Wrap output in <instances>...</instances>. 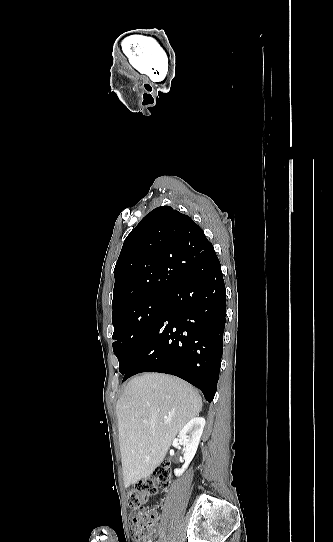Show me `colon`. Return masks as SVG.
Here are the masks:
<instances>
[{"instance_id": "5ec220e1", "label": "colon", "mask_w": 333, "mask_h": 542, "mask_svg": "<svg viewBox=\"0 0 333 542\" xmlns=\"http://www.w3.org/2000/svg\"><path fill=\"white\" fill-rule=\"evenodd\" d=\"M170 464L164 461L155 468L153 475L138 480L135 488L128 494V505L131 507L129 515L132 529L130 536L132 540H143L153 532L151 523L154 520L152 513L146 511L148 498L158 493L160 489L168 485Z\"/></svg>"}]
</instances>
